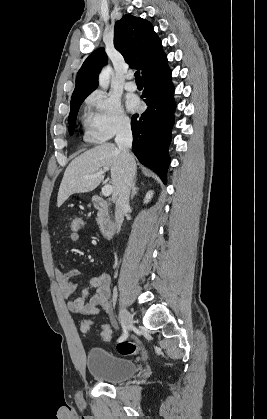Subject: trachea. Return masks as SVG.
<instances>
[{
	"label": "trachea",
	"instance_id": "obj_1",
	"mask_svg": "<svg viewBox=\"0 0 267 419\" xmlns=\"http://www.w3.org/2000/svg\"><path fill=\"white\" fill-rule=\"evenodd\" d=\"M134 75H135L136 81H141L140 71H136Z\"/></svg>",
	"mask_w": 267,
	"mask_h": 419
}]
</instances>
